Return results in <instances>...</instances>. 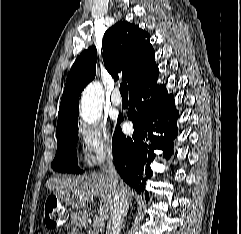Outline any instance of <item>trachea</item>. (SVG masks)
Segmentation results:
<instances>
[{
    "label": "trachea",
    "mask_w": 241,
    "mask_h": 234,
    "mask_svg": "<svg viewBox=\"0 0 241 234\" xmlns=\"http://www.w3.org/2000/svg\"><path fill=\"white\" fill-rule=\"evenodd\" d=\"M120 93L122 97H128V86L127 83H122L120 85Z\"/></svg>",
    "instance_id": "3493384b"
}]
</instances>
